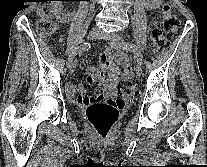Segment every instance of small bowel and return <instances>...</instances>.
Segmentation results:
<instances>
[{
    "label": "small bowel",
    "instance_id": "small-bowel-1",
    "mask_svg": "<svg viewBox=\"0 0 207 167\" xmlns=\"http://www.w3.org/2000/svg\"><path fill=\"white\" fill-rule=\"evenodd\" d=\"M158 0H150V2H157ZM157 23L156 21L154 22ZM123 54L118 55L119 62L124 66L123 78L129 79L132 75V68L126 58L124 61H121L119 57ZM101 61L103 65L90 67L88 69V81L96 85L102 90V95L112 96L116 92L118 79H119V70L116 64L113 61V58L110 54V49L106 50L101 55ZM104 69L108 72V78L104 76ZM66 94L70 102L79 105L87 106L97 102L102 95L89 97L86 96L85 89L82 85H74L71 82L66 84Z\"/></svg>",
    "mask_w": 207,
    "mask_h": 167
}]
</instances>
